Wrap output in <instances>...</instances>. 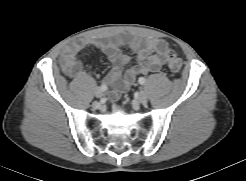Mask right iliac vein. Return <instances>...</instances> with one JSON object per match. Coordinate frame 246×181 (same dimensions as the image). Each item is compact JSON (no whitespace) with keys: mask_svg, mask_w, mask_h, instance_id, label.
<instances>
[{"mask_svg":"<svg viewBox=\"0 0 246 181\" xmlns=\"http://www.w3.org/2000/svg\"><path fill=\"white\" fill-rule=\"evenodd\" d=\"M95 96H96L97 98H101V97L103 96V92L101 91L100 88H97V89L95 90Z\"/></svg>","mask_w":246,"mask_h":181,"instance_id":"63e3f726","label":"right iliac vein"}]
</instances>
